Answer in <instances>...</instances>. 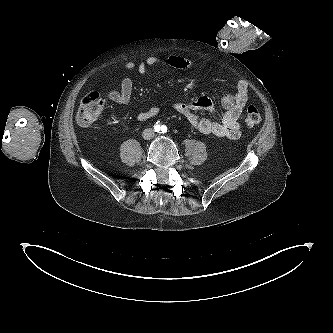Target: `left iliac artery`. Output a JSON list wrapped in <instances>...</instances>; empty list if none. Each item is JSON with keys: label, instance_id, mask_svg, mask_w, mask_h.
<instances>
[{"label": "left iliac artery", "instance_id": "obj_1", "mask_svg": "<svg viewBox=\"0 0 333 333\" xmlns=\"http://www.w3.org/2000/svg\"><path fill=\"white\" fill-rule=\"evenodd\" d=\"M162 131H164V132L167 131V128L165 126H163Z\"/></svg>", "mask_w": 333, "mask_h": 333}]
</instances>
